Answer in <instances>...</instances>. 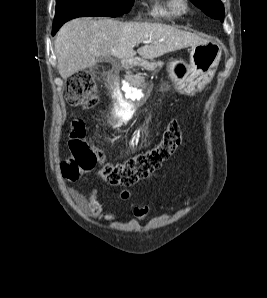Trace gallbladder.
Masks as SVG:
<instances>
[{"instance_id": "gallbladder-1", "label": "gallbladder", "mask_w": 267, "mask_h": 298, "mask_svg": "<svg viewBox=\"0 0 267 298\" xmlns=\"http://www.w3.org/2000/svg\"><path fill=\"white\" fill-rule=\"evenodd\" d=\"M97 60L100 61V62L101 61H106V60L110 61V60H112V58L110 56L109 57H99V58H97Z\"/></svg>"}]
</instances>
